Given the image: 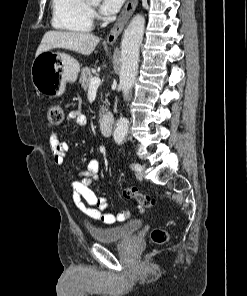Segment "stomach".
<instances>
[{
  "instance_id": "0dacf381",
  "label": "stomach",
  "mask_w": 247,
  "mask_h": 296,
  "mask_svg": "<svg viewBox=\"0 0 247 296\" xmlns=\"http://www.w3.org/2000/svg\"><path fill=\"white\" fill-rule=\"evenodd\" d=\"M79 71V62L70 55L45 51L35 57L31 79L38 92L55 98L64 93L67 82L76 81Z\"/></svg>"
}]
</instances>
